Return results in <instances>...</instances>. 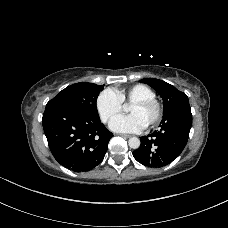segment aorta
I'll return each instance as SVG.
<instances>
[{"mask_svg":"<svg viewBox=\"0 0 228 228\" xmlns=\"http://www.w3.org/2000/svg\"><path fill=\"white\" fill-rule=\"evenodd\" d=\"M140 139L137 138V137H131L129 140H128V145L130 148L132 149H138L140 147Z\"/></svg>","mask_w":228,"mask_h":228,"instance_id":"1","label":"aorta"}]
</instances>
